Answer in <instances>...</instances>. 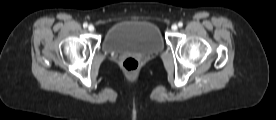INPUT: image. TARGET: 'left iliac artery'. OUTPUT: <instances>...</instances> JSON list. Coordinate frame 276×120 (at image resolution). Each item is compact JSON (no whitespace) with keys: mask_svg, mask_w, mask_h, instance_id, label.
<instances>
[{"mask_svg":"<svg viewBox=\"0 0 276 120\" xmlns=\"http://www.w3.org/2000/svg\"><path fill=\"white\" fill-rule=\"evenodd\" d=\"M178 26H179V27H182V26H183V23H182V22H179V23H178Z\"/></svg>","mask_w":276,"mask_h":120,"instance_id":"44dca946","label":"left iliac artery"}]
</instances>
